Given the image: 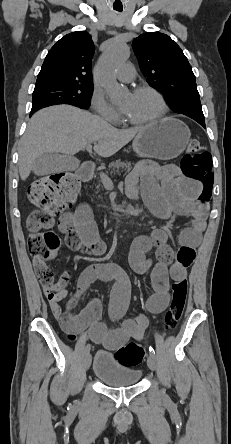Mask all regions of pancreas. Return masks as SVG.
I'll return each mask as SVG.
<instances>
[{"label":"pancreas","instance_id":"pancreas-1","mask_svg":"<svg viewBox=\"0 0 231 444\" xmlns=\"http://www.w3.org/2000/svg\"><path fill=\"white\" fill-rule=\"evenodd\" d=\"M131 168V162L116 160L115 162H111L109 164L108 171H106V173L110 172V174H115L120 172V170L130 171Z\"/></svg>","mask_w":231,"mask_h":444}]
</instances>
